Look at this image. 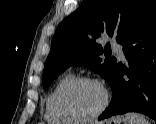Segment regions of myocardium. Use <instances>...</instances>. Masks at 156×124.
Listing matches in <instances>:
<instances>
[{
	"instance_id": "obj_1",
	"label": "myocardium",
	"mask_w": 156,
	"mask_h": 124,
	"mask_svg": "<svg viewBox=\"0 0 156 124\" xmlns=\"http://www.w3.org/2000/svg\"><path fill=\"white\" fill-rule=\"evenodd\" d=\"M83 83H91L98 86L102 93H103V102L101 106L98 108V110L93 113L90 116L86 117H79L71 112H69L63 104V100L65 95L68 93L69 90H71L73 87L83 84ZM110 101V96L108 89L106 86L97 78L89 77V76H81V77H75L66 84H64L61 89L58 91L56 98H55V108L57 112L65 119L71 121L72 123H87L92 122L96 119H98L107 109Z\"/></svg>"
}]
</instances>
